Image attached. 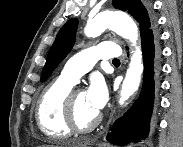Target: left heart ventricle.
<instances>
[{
  "mask_svg": "<svg viewBox=\"0 0 183 147\" xmlns=\"http://www.w3.org/2000/svg\"><path fill=\"white\" fill-rule=\"evenodd\" d=\"M98 114L89 104L86 93L80 91L75 96V116L79 125H88Z\"/></svg>",
  "mask_w": 183,
  "mask_h": 147,
  "instance_id": "1",
  "label": "left heart ventricle"
}]
</instances>
